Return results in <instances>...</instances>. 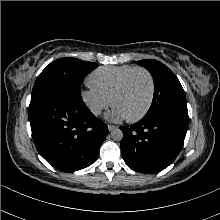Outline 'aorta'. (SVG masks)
I'll list each match as a JSON object with an SVG mask.
<instances>
[{
    "instance_id": "1",
    "label": "aorta",
    "mask_w": 220,
    "mask_h": 220,
    "mask_svg": "<svg viewBox=\"0 0 220 220\" xmlns=\"http://www.w3.org/2000/svg\"><path fill=\"white\" fill-rule=\"evenodd\" d=\"M111 137L116 141H121L123 138V132L119 128H115L111 131Z\"/></svg>"
}]
</instances>
